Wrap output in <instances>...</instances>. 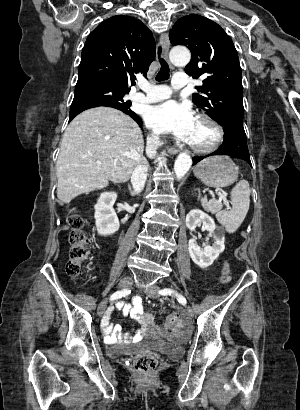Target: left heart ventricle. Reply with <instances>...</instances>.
Returning <instances> with one entry per match:
<instances>
[{"instance_id":"1","label":"left heart ventricle","mask_w":300,"mask_h":410,"mask_svg":"<svg viewBox=\"0 0 300 410\" xmlns=\"http://www.w3.org/2000/svg\"><path fill=\"white\" fill-rule=\"evenodd\" d=\"M216 138L215 130L207 123L197 120L196 127L190 141L196 146H207Z\"/></svg>"}]
</instances>
